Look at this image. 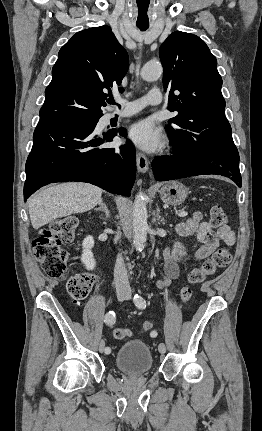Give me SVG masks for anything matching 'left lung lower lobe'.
Here are the masks:
<instances>
[{
    "label": "left lung lower lobe",
    "mask_w": 262,
    "mask_h": 431,
    "mask_svg": "<svg viewBox=\"0 0 262 431\" xmlns=\"http://www.w3.org/2000/svg\"><path fill=\"white\" fill-rule=\"evenodd\" d=\"M154 178L168 181L197 175L232 177L241 187L239 154L235 145H229L217 155L185 154L173 150L172 155L156 157L152 162Z\"/></svg>",
    "instance_id": "left-lung-lower-lobe-1"
}]
</instances>
